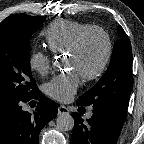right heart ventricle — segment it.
Masks as SVG:
<instances>
[{
    "mask_svg": "<svg viewBox=\"0 0 144 144\" xmlns=\"http://www.w3.org/2000/svg\"><path fill=\"white\" fill-rule=\"evenodd\" d=\"M92 27L91 24L72 20H58L43 32L48 48L55 52L68 51L78 35Z\"/></svg>",
    "mask_w": 144,
    "mask_h": 144,
    "instance_id": "e07e8e85",
    "label": "right heart ventricle"
}]
</instances>
